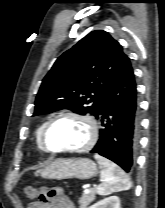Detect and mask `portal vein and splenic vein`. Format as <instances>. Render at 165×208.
Wrapping results in <instances>:
<instances>
[{
    "label": "portal vein and splenic vein",
    "mask_w": 165,
    "mask_h": 208,
    "mask_svg": "<svg viewBox=\"0 0 165 208\" xmlns=\"http://www.w3.org/2000/svg\"><path fill=\"white\" fill-rule=\"evenodd\" d=\"M90 192V189H88V188H86L85 190H84V193L85 194H88Z\"/></svg>",
    "instance_id": "18ae733b"
}]
</instances>
